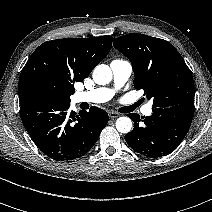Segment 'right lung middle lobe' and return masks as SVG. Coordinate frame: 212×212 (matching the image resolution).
Returning <instances> with one entry per match:
<instances>
[{"mask_svg": "<svg viewBox=\"0 0 212 212\" xmlns=\"http://www.w3.org/2000/svg\"><path fill=\"white\" fill-rule=\"evenodd\" d=\"M39 101H58V100L51 97L50 95H48L46 93H42V94L37 95L35 98V102H39Z\"/></svg>", "mask_w": 212, "mask_h": 212, "instance_id": "1", "label": "right lung middle lobe"}]
</instances>
